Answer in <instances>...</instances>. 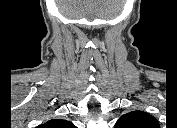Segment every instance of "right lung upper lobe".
I'll return each mask as SVG.
<instances>
[{
	"label": "right lung upper lobe",
	"instance_id": "cb5924a9",
	"mask_svg": "<svg viewBox=\"0 0 177 128\" xmlns=\"http://www.w3.org/2000/svg\"><path fill=\"white\" fill-rule=\"evenodd\" d=\"M40 128H75V125L66 120L52 119L39 126Z\"/></svg>",
	"mask_w": 177,
	"mask_h": 128
}]
</instances>
